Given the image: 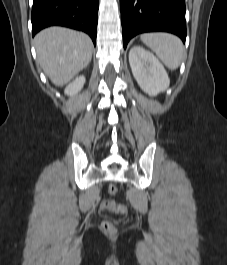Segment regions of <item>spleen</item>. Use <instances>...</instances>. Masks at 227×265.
<instances>
[{"label": "spleen", "mask_w": 227, "mask_h": 265, "mask_svg": "<svg viewBox=\"0 0 227 265\" xmlns=\"http://www.w3.org/2000/svg\"><path fill=\"white\" fill-rule=\"evenodd\" d=\"M140 38L166 67L175 70L180 66L184 57V46L177 36L169 33H146Z\"/></svg>", "instance_id": "3e777b00"}]
</instances>
